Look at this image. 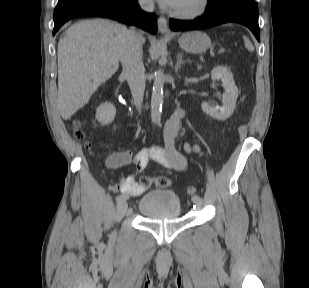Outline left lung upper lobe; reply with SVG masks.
I'll list each match as a JSON object with an SVG mask.
<instances>
[{
  "mask_svg": "<svg viewBox=\"0 0 309 288\" xmlns=\"http://www.w3.org/2000/svg\"><path fill=\"white\" fill-rule=\"evenodd\" d=\"M218 0H208V4H213L215 2H217Z\"/></svg>",
  "mask_w": 309,
  "mask_h": 288,
  "instance_id": "5c2ea615",
  "label": "left lung upper lobe"
}]
</instances>
